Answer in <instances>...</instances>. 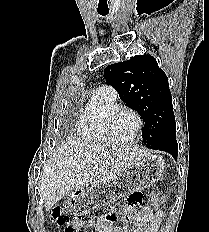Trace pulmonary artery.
<instances>
[{"mask_svg":"<svg viewBox=\"0 0 209 232\" xmlns=\"http://www.w3.org/2000/svg\"><path fill=\"white\" fill-rule=\"evenodd\" d=\"M100 88H103L104 91H105L111 98H113V99H116V98H117V92H116V90H115L113 87L108 86V85H104V86H102V87H100Z\"/></svg>","mask_w":209,"mask_h":232,"instance_id":"1","label":"pulmonary artery"}]
</instances>
